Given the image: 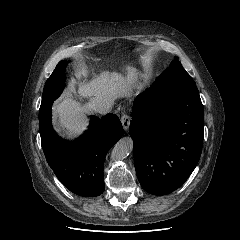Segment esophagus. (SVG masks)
I'll use <instances>...</instances> for the list:
<instances>
[{"label": "esophagus", "instance_id": "esophagus-1", "mask_svg": "<svg viewBox=\"0 0 240 240\" xmlns=\"http://www.w3.org/2000/svg\"><path fill=\"white\" fill-rule=\"evenodd\" d=\"M121 123H122L124 130H127L131 123V116L128 114H123L121 116Z\"/></svg>", "mask_w": 240, "mask_h": 240}]
</instances>
